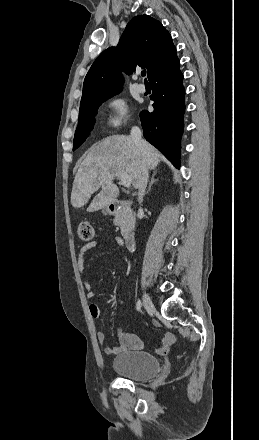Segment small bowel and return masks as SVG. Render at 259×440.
Segmentation results:
<instances>
[{
    "instance_id": "obj_1",
    "label": "small bowel",
    "mask_w": 259,
    "mask_h": 440,
    "mask_svg": "<svg viewBox=\"0 0 259 440\" xmlns=\"http://www.w3.org/2000/svg\"><path fill=\"white\" fill-rule=\"evenodd\" d=\"M114 242L118 245L123 244V240L120 237H114ZM101 244V241H92L85 245H83L80 248V251L78 253V269L81 274V276L84 275V263H85V256L89 250L92 248L98 246ZM83 285L86 291L87 298H93L95 293L92 289L91 284L87 280H83ZM89 312L90 315L93 318H97L100 315V308L96 303H91L89 305ZM158 324V323H156ZM97 339L100 343H105L107 341V336L104 332L98 331L97 332ZM119 345L113 348H106L105 353L107 355L115 354L120 351L126 350V349H141L143 348V342L142 340L135 334H129V333H121L119 335ZM174 342V336L171 333H167L161 340V345L157 349V353L159 354H165L168 352L170 346Z\"/></svg>"
}]
</instances>
